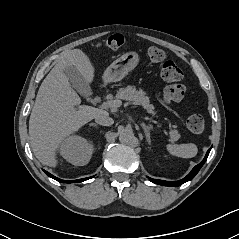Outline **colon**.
<instances>
[{
  "instance_id": "1",
  "label": "colon",
  "mask_w": 239,
  "mask_h": 239,
  "mask_svg": "<svg viewBox=\"0 0 239 239\" xmlns=\"http://www.w3.org/2000/svg\"><path fill=\"white\" fill-rule=\"evenodd\" d=\"M125 40L121 35H112L105 41L98 43V47L108 50H119L123 47ZM148 56L154 63L161 64L160 74L167 83L163 90V102L165 105H173L181 101L185 95V85L182 83V71L172 60L167 59L165 53L156 48L148 49ZM187 128L195 134H200L205 129L204 118L199 114H192L187 118Z\"/></svg>"
}]
</instances>
